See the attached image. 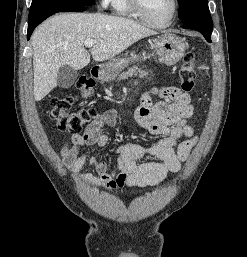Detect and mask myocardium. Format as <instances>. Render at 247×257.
<instances>
[{
  "instance_id": "obj_1",
  "label": "myocardium",
  "mask_w": 247,
  "mask_h": 257,
  "mask_svg": "<svg viewBox=\"0 0 247 257\" xmlns=\"http://www.w3.org/2000/svg\"><path fill=\"white\" fill-rule=\"evenodd\" d=\"M128 1L130 4V7L132 8V10L136 14V16L142 22H144L146 25H148L150 27L158 28V29H162V28H166V27L170 26L172 24V22L174 21L176 15H177V12H178V8H179L178 0H173V11H172L170 18L165 23L158 24V23L151 21L146 16V14L144 13L143 8H142L141 0H128Z\"/></svg>"
}]
</instances>
